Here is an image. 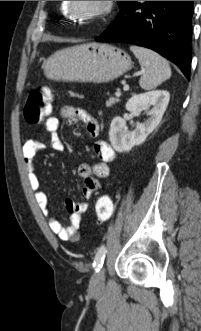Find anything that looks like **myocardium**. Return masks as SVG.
Instances as JSON below:
<instances>
[{
    "mask_svg": "<svg viewBox=\"0 0 201 331\" xmlns=\"http://www.w3.org/2000/svg\"><path fill=\"white\" fill-rule=\"evenodd\" d=\"M69 6H70L71 12L75 16L81 17L88 21H94V20L102 19V18L106 17L107 15H109L114 8V1H100V6H99L98 10L89 15L79 14L75 9L74 1H69Z\"/></svg>",
    "mask_w": 201,
    "mask_h": 331,
    "instance_id": "1",
    "label": "myocardium"
}]
</instances>
